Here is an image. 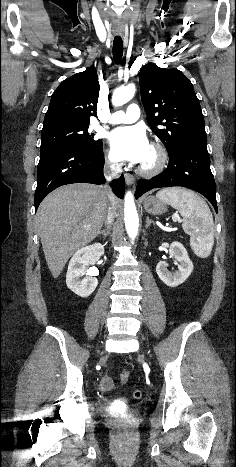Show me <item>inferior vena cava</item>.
Listing matches in <instances>:
<instances>
[{
    "mask_svg": "<svg viewBox=\"0 0 236 467\" xmlns=\"http://www.w3.org/2000/svg\"><path fill=\"white\" fill-rule=\"evenodd\" d=\"M118 173H119V168L115 165V164H109L107 166H105L104 168V175L106 176V178L108 180H111L113 178H116L118 176ZM106 190V193L108 195L109 198H112L113 197V194L112 192L110 191V189L108 188H105ZM115 214H116V208L113 207V206H108L107 207V216H106V225L107 227L112 224L114 218H115Z\"/></svg>",
    "mask_w": 236,
    "mask_h": 467,
    "instance_id": "inferior-vena-cava-1",
    "label": "inferior vena cava"
}]
</instances>
